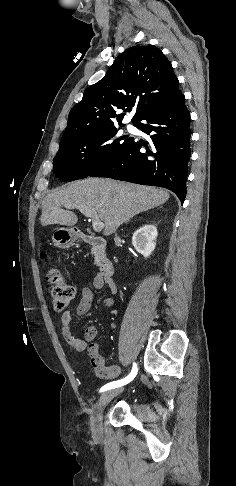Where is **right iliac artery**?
Returning a JSON list of instances; mask_svg holds the SVG:
<instances>
[{"instance_id": "1", "label": "right iliac artery", "mask_w": 236, "mask_h": 486, "mask_svg": "<svg viewBox=\"0 0 236 486\" xmlns=\"http://www.w3.org/2000/svg\"><path fill=\"white\" fill-rule=\"evenodd\" d=\"M137 371H138L137 365H136V363H133L132 371L127 377H125L121 380L113 381V382H110V383L104 385L100 389V392H103V391H106V390H109V389H112V388H117V387H120V386H123V385L129 383L130 381H132L134 379V377L137 374Z\"/></svg>"}]
</instances>
